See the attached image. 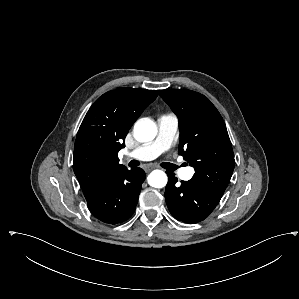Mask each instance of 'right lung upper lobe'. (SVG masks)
Listing matches in <instances>:
<instances>
[{"instance_id":"obj_1","label":"right lung upper lobe","mask_w":299,"mask_h":299,"mask_svg":"<svg viewBox=\"0 0 299 299\" xmlns=\"http://www.w3.org/2000/svg\"><path fill=\"white\" fill-rule=\"evenodd\" d=\"M159 90L119 88L100 96L87 112L76 137L73 170L85 198L108 177L126 168L118 152L134 121Z\"/></svg>"}]
</instances>
